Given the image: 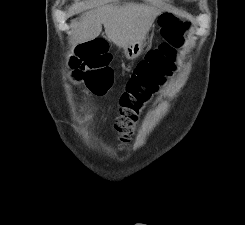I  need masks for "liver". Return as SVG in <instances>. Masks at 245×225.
<instances>
[{
    "instance_id": "obj_1",
    "label": "liver",
    "mask_w": 245,
    "mask_h": 225,
    "mask_svg": "<svg viewBox=\"0 0 245 225\" xmlns=\"http://www.w3.org/2000/svg\"><path fill=\"white\" fill-rule=\"evenodd\" d=\"M159 9L137 3L103 4L90 9L74 25L72 43L82 44L98 37L102 25L108 39L118 47H126L145 39Z\"/></svg>"
}]
</instances>
